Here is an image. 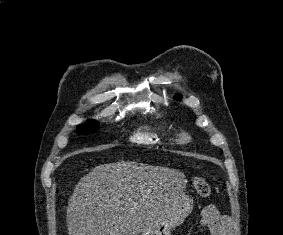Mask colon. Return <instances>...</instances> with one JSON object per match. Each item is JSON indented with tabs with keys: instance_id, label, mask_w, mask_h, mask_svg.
<instances>
[{
	"instance_id": "obj_1",
	"label": "colon",
	"mask_w": 283,
	"mask_h": 235,
	"mask_svg": "<svg viewBox=\"0 0 283 235\" xmlns=\"http://www.w3.org/2000/svg\"><path fill=\"white\" fill-rule=\"evenodd\" d=\"M193 186L199 196L207 198L211 194V187L208 181L202 176H195L193 178Z\"/></svg>"
}]
</instances>
